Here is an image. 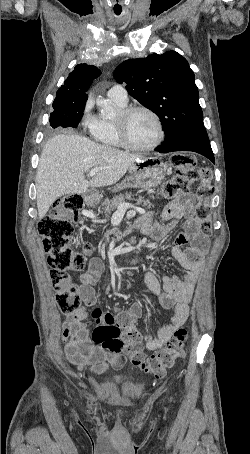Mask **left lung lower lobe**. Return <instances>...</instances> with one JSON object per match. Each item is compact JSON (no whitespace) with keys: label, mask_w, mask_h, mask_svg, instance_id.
<instances>
[{"label":"left lung lower lobe","mask_w":250,"mask_h":454,"mask_svg":"<svg viewBox=\"0 0 250 454\" xmlns=\"http://www.w3.org/2000/svg\"><path fill=\"white\" fill-rule=\"evenodd\" d=\"M155 150L160 153L193 151L207 157L215 163L214 155L205 128L193 130L179 140L167 145H160Z\"/></svg>","instance_id":"left-lung-lower-lobe-1"}]
</instances>
